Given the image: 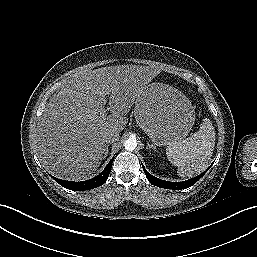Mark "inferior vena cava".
Masks as SVG:
<instances>
[{"mask_svg":"<svg viewBox=\"0 0 257 257\" xmlns=\"http://www.w3.org/2000/svg\"><path fill=\"white\" fill-rule=\"evenodd\" d=\"M102 137L104 138L106 143H111L119 139V133L114 131H105L102 134Z\"/></svg>","mask_w":257,"mask_h":257,"instance_id":"obj_1","label":"inferior vena cava"}]
</instances>
